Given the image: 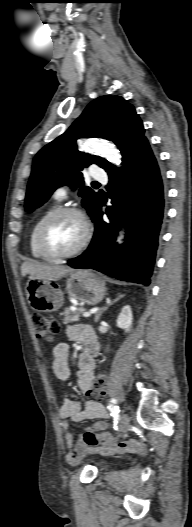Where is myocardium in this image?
<instances>
[{"label": "myocardium", "mask_w": 192, "mask_h": 527, "mask_svg": "<svg viewBox=\"0 0 192 527\" xmlns=\"http://www.w3.org/2000/svg\"><path fill=\"white\" fill-rule=\"evenodd\" d=\"M73 214L77 216L83 224L84 233L79 244L71 251L57 253L50 249L47 243V233L51 225L59 217ZM92 237V225L87 215L79 208L73 206L59 207L53 210L41 223L37 232V246L41 254L48 260L59 261L69 259L80 254L89 244Z\"/></svg>", "instance_id": "1"}]
</instances>
